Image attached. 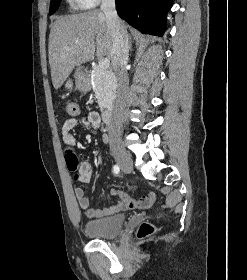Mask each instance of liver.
<instances>
[{
	"label": "liver",
	"instance_id": "liver-1",
	"mask_svg": "<svg viewBox=\"0 0 247 280\" xmlns=\"http://www.w3.org/2000/svg\"><path fill=\"white\" fill-rule=\"evenodd\" d=\"M112 37L102 11L92 10L57 19L49 35L52 83L60 88L76 66L94 55L111 60Z\"/></svg>",
	"mask_w": 247,
	"mask_h": 280
}]
</instances>
